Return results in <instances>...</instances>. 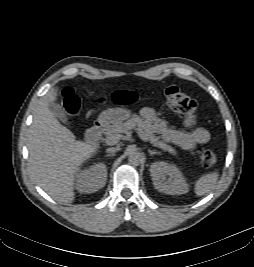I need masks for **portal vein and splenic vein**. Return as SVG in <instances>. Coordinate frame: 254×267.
Instances as JSON below:
<instances>
[{"instance_id":"18ae733b","label":"portal vein and splenic vein","mask_w":254,"mask_h":267,"mask_svg":"<svg viewBox=\"0 0 254 267\" xmlns=\"http://www.w3.org/2000/svg\"><path fill=\"white\" fill-rule=\"evenodd\" d=\"M137 133H138L139 137L143 141H146V136H145V134L141 130H138ZM119 139H120V136L119 135L118 136H113V137H111V138H109V139L106 140V144L107 145H115L119 141Z\"/></svg>"}]
</instances>
